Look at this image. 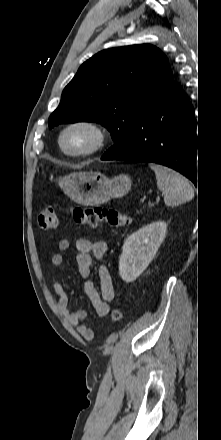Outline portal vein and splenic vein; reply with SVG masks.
Masks as SVG:
<instances>
[{
	"label": "portal vein and splenic vein",
	"instance_id": "obj_1",
	"mask_svg": "<svg viewBox=\"0 0 221 440\" xmlns=\"http://www.w3.org/2000/svg\"><path fill=\"white\" fill-rule=\"evenodd\" d=\"M156 200H157V202H158V201H160V197H157V199H156Z\"/></svg>",
	"mask_w": 221,
	"mask_h": 440
}]
</instances>
